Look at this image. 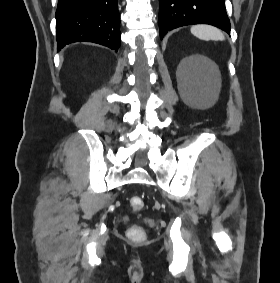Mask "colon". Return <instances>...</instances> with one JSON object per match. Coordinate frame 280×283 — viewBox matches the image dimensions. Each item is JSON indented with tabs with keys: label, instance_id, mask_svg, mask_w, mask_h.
I'll return each instance as SVG.
<instances>
[{
	"label": "colon",
	"instance_id": "colon-1",
	"mask_svg": "<svg viewBox=\"0 0 280 283\" xmlns=\"http://www.w3.org/2000/svg\"><path fill=\"white\" fill-rule=\"evenodd\" d=\"M130 206H131L132 210L138 212L143 208L144 201L140 197H132L130 199ZM128 235L132 239L140 240V239H143V237H144V231L139 226H132L128 230Z\"/></svg>",
	"mask_w": 280,
	"mask_h": 283
}]
</instances>
